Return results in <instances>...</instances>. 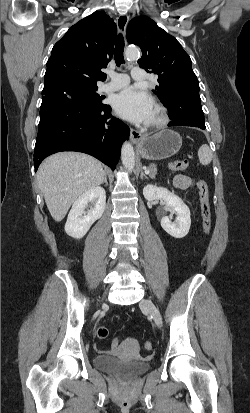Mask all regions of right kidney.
I'll return each instance as SVG.
<instances>
[{
  "label": "right kidney",
  "mask_w": 250,
  "mask_h": 413,
  "mask_svg": "<svg viewBox=\"0 0 250 413\" xmlns=\"http://www.w3.org/2000/svg\"><path fill=\"white\" fill-rule=\"evenodd\" d=\"M89 203L94 208L85 212ZM106 207V193L102 187H94L79 196L72 205L65 224L66 233L76 239L82 238L91 225L103 215Z\"/></svg>",
  "instance_id": "ca27d5eb"
}]
</instances>
